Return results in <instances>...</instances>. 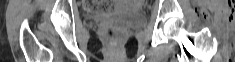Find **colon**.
<instances>
[{
	"mask_svg": "<svg viewBox=\"0 0 235 62\" xmlns=\"http://www.w3.org/2000/svg\"><path fill=\"white\" fill-rule=\"evenodd\" d=\"M97 8H99L100 10H103V11H106L109 9L108 5L107 4H102V5H99V6H96ZM108 36H109V39L112 43H115L117 38H118V30L115 29V28H111L109 29L108 31Z\"/></svg>",
	"mask_w": 235,
	"mask_h": 62,
	"instance_id": "1",
	"label": "colon"
}]
</instances>
